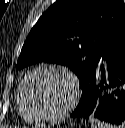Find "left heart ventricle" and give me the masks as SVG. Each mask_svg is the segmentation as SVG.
Returning <instances> with one entry per match:
<instances>
[{
	"mask_svg": "<svg viewBox=\"0 0 125 128\" xmlns=\"http://www.w3.org/2000/svg\"><path fill=\"white\" fill-rule=\"evenodd\" d=\"M25 96L31 111L36 114H52L61 110L69 102L72 87L61 74L40 71L28 81Z\"/></svg>",
	"mask_w": 125,
	"mask_h": 128,
	"instance_id": "left-heart-ventricle-1",
	"label": "left heart ventricle"
}]
</instances>
